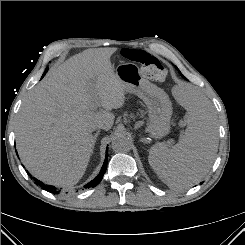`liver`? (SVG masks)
<instances>
[{"label":"liver","instance_id":"liver-1","mask_svg":"<svg viewBox=\"0 0 245 245\" xmlns=\"http://www.w3.org/2000/svg\"><path fill=\"white\" fill-rule=\"evenodd\" d=\"M117 48L88 49L53 67L24 99L16 122L22 163L39 180L71 187L94 149V125L109 130L123 106L125 86L110 57ZM98 101L105 110L96 111Z\"/></svg>","mask_w":245,"mask_h":245}]
</instances>
